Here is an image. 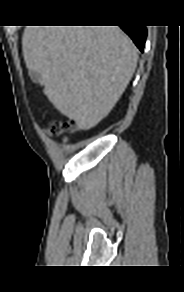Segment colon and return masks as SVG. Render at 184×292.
<instances>
[{"instance_id":"1","label":"colon","mask_w":184,"mask_h":292,"mask_svg":"<svg viewBox=\"0 0 184 292\" xmlns=\"http://www.w3.org/2000/svg\"><path fill=\"white\" fill-rule=\"evenodd\" d=\"M76 130V124L72 120L54 121L52 122L47 131L51 135H63L65 133L74 132Z\"/></svg>"}]
</instances>
